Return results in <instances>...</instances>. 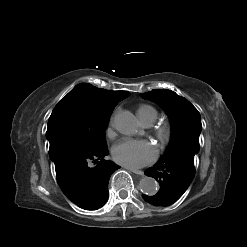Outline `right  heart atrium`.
<instances>
[{
    "instance_id": "1",
    "label": "right heart atrium",
    "mask_w": 247,
    "mask_h": 247,
    "mask_svg": "<svg viewBox=\"0 0 247 247\" xmlns=\"http://www.w3.org/2000/svg\"><path fill=\"white\" fill-rule=\"evenodd\" d=\"M114 123H115V114H113L109 119L108 127L106 130L108 136H111L113 133Z\"/></svg>"
}]
</instances>
